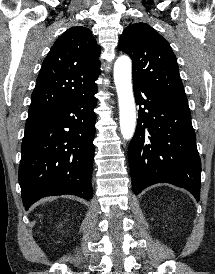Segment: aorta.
Wrapping results in <instances>:
<instances>
[{"label": "aorta", "instance_id": "762f6f07", "mask_svg": "<svg viewBox=\"0 0 215 274\" xmlns=\"http://www.w3.org/2000/svg\"><path fill=\"white\" fill-rule=\"evenodd\" d=\"M131 60L127 56L119 57L114 65V82L117 90L120 129L124 139L132 138L136 125V108L131 81Z\"/></svg>", "mask_w": 215, "mask_h": 274}]
</instances>
